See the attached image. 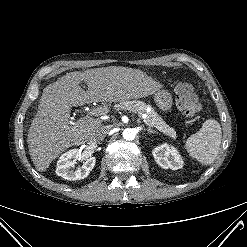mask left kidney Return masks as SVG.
Returning <instances> with one entry per match:
<instances>
[{
	"label": "left kidney",
	"instance_id": "obj_1",
	"mask_svg": "<svg viewBox=\"0 0 247 247\" xmlns=\"http://www.w3.org/2000/svg\"><path fill=\"white\" fill-rule=\"evenodd\" d=\"M152 154L157 164L164 169L178 170L183 167V160L178 151L166 143L154 148Z\"/></svg>",
	"mask_w": 247,
	"mask_h": 247
}]
</instances>
